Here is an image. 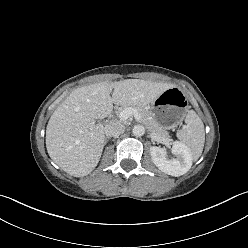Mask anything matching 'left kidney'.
Segmentation results:
<instances>
[{
    "label": "left kidney",
    "instance_id": "left-kidney-1",
    "mask_svg": "<svg viewBox=\"0 0 248 248\" xmlns=\"http://www.w3.org/2000/svg\"><path fill=\"white\" fill-rule=\"evenodd\" d=\"M172 153L176 158L168 159L165 149L157 146L150 148L152 161L162 172L175 177L188 172L193 161L189 148L183 143L175 141L173 142Z\"/></svg>",
    "mask_w": 248,
    "mask_h": 248
}]
</instances>
